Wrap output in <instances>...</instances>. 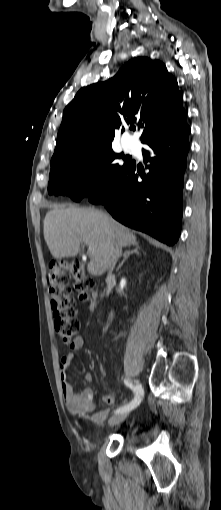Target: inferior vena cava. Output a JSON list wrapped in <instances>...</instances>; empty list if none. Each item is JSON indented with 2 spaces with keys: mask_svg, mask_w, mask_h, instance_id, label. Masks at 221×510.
<instances>
[{
  "mask_svg": "<svg viewBox=\"0 0 221 510\" xmlns=\"http://www.w3.org/2000/svg\"><path fill=\"white\" fill-rule=\"evenodd\" d=\"M122 254V246L120 244H118L117 242H113L110 246V250H109V258H110V261H109V273H108V277H113L112 275V271L115 267V264L118 260V258L121 256Z\"/></svg>",
  "mask_w": 221,
  "mask_h": 510,
  "instance_id": "1",
  "label": "inferior vena cava"
}]
</instances>
